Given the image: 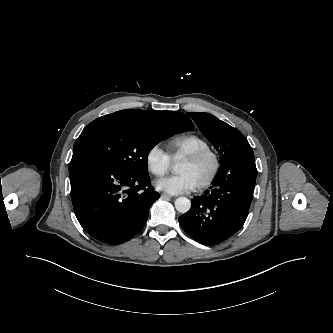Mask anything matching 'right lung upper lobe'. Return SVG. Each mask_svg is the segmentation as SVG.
I'll return each instance as SVG.
<instances>
[{"instance_id": "obj_1", "label": "right lung upper lobe", "mask_w": 333, "mask_h": 333, "mask_svg": "<svg viewBox=\"0 0 333 333\" xmlns=\"http://www.w3.org/2000/svg\"><path fill=\"white\" fill-rule=\"evenodd\" d=\"M101 119L128 121L146 127H180L191 131L194 125L191 120L177 111H145L127 109L100 117Z\"/></svg>"}]
</instances>
